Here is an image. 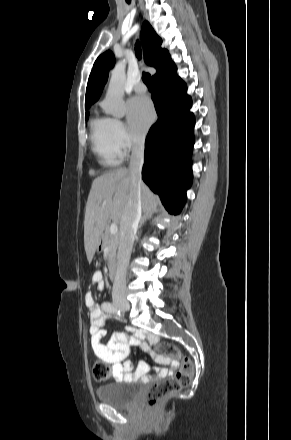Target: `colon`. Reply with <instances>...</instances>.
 <instances>
[{
  "label": "colon",
  "mask_w": 291,
  "mask_h": 440,
  "mask_svg": "<svg viewBox=\"0 0 291 440\" xmlns=\"http://www.w3.org/2000/svg\"><path fill=\"white\" fill-rule=\"evenodd\" d=\"M154 348L156 358L160 360L177 358L180 362V368L173 377L155 382L149 388L145 397V405L151 409L157 408L163 400L187 387L194 375L193 362L183 356L172 343L159 342ZM93 376L99 382L108 380L111 376L109 365L106 362L95 364Z\"/></svg>",
  "instance_id": "colon-1"
}]
</instances>
